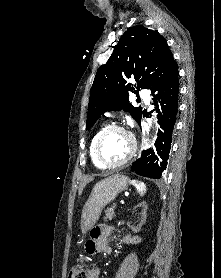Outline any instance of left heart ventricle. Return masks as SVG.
I'll return each instance as SVG.
<instances>
[{
	"mask_svg": "<svg viewBox=\"0 0 221 278\" xmlns=\"http://www.w3.org/2000/svg\"><path fill=\"white\" fill-rule=\"evenodd\" d=\"M131 150V140L125 133L114 131L102 141L100 153L103 160L114 164L125 159Z\"/></svg>",
	"mask_w": 221,
	"mask_h": 278,
	"instance_id": "1",
	"label": "left heart ventricle"
}]
</instances>
